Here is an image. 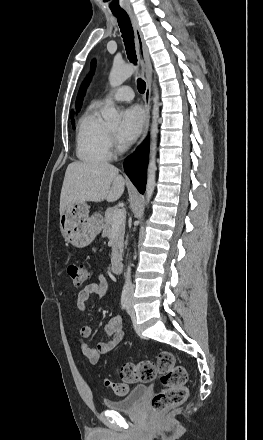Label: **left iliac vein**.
<instances>
[{"mask_svg":"<svg viewBox=\"0 0 263 440\" xmlns=\"http://www.w3.org/2000/svg\"><path fill=\"white\" fill-rule=\"evenodd\" d=\"M128 314H133V308H132V299L131 297H128V307H127Z\"/></svg>","mask_w":263,"mask_h":440,"instance_id":"left-iliac-vein-1","label":"left iliac vein"}]
</instances>
